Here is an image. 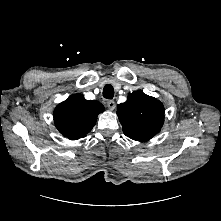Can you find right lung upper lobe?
Masks as SVG:
<instances>
[{
  "mask_svg": "<svg viewBox=\"0 0 221 221\" xmlns=\"http://www.w3.org/2000/svg\"><path fill=\"white\" fill-rule=\"evenodd\" d=\"M104 106L98 101L86 100L81 94H73L58 104L54 110V123L58 131L70 140L83 138L96 123Z\"/></svg>",
  "mask_w": 221,
  "mask_h": 221,
  "instance_id": "cb5924a9",
  "label": "right lung upper lobe"
}]
</instances>
